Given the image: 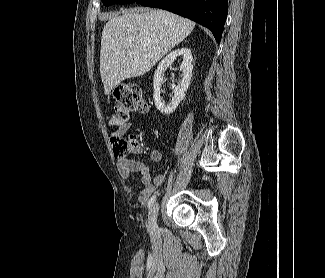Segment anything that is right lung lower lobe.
<instances>
[{"label": "right lung lower lobe", "mask_w": 325, "mask_h": 278, "mask_svg": "<svg viewBox=\"0 0 325 278\" xmlns=\"http://www.w3.org/2000/svg\"><path fill=\"white\" fill-rule=\"evenodd\" d=\"M143 6L168 10L211 30L220 43L228 12V0H137Z\"/></svg>", "instance_id": "98d812e1"}]
</instances>
